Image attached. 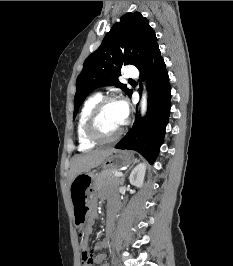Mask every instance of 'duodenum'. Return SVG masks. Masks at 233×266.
I'll list each match as a JSON object with an SVG mask.
<instances>
[{"instance_id":"obj_1","label":"duodenum","mask_w":233,"mask_h":266,"mask_svg":"<svg viewBox=\"0 0 233 266\" xmlns=\"http://www.w3.org/2000/svg\"><path fill=\"white\" fill-rule=\"evenodd\" d=\"M116 214V208L113 206H109L108 209V220H113Z\"/></svg>"}]
</instances>
